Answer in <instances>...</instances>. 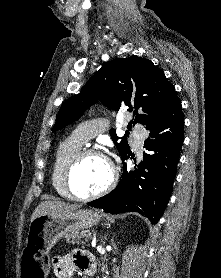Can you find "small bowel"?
Listing matches in <instances>:
<instances>
[{
  "instance_id": "1",
  "label": "small bowel",
  "mask_w": 221,
  "mask_h": 278,
  "mask_svg": "<svg viewBox=\"0 0 221 278\" xmlns=\"http://www.w3.org/2000/svg\"><path fill=\"white\" fill-rule=\"evenodd\" d=\"M94 266L91 255L82 251H72L54 259L53 272L56 278H70L77 269L87 272Z\"/></svg>"
}]
</instances>
